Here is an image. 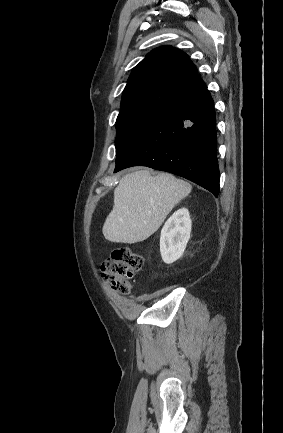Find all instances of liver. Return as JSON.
<instances>
[{
  "label": "liver",
  "mask_w": 283,
  "mask_h": 433,
  "mask_svg": "<svg viewBox=\"0 0 283 433\" xmlns=\"http://www.w3.org/2000/svg\"><path fill=\"white\" fill-rule=\"evenodd\" d=\"M191 184L168 172L151 176L135 170L122 176L102 233L112 243H140L153 235L173 206L191 192Z\"/></svg>",
  "instance_id": "obj_1"
}]
</instances>
